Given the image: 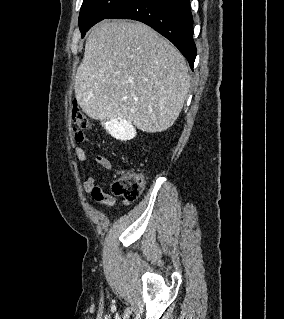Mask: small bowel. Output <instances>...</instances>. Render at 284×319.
Listing matches in <instances>:
<instances>
[{
    "instance_id": "small-bowel-1",
    "label": "small bowel",
    "mask_w": 284,
    "mask_h": 319,
    "mask_svg": "<svg viewBox=\"0 0 284 319\" xmlns=\"http://www.w3.org/2000/svg\"><path fill=\"white\" fill-rule=\"evenodd\" d=\"M73 140L75 141L74 153L81 162H86L88 157L83 147L78 145L87 140L86 136L81 130L74 129L72 132ZM96 163L105 170L112 169V163L105 156L98 154L95 157ZM84 190L90 195L91 199L95 202H100L106 207L110 208L115 204V198L106 193L103 188L97 184L93 176H89L83 183Z\"/></svg>"
}]
</instances>
